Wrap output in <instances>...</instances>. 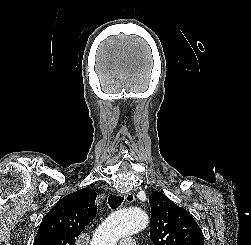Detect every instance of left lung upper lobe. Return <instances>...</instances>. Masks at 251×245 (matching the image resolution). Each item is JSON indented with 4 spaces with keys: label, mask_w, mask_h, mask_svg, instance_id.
Returning a JSON list of instances; mask_svg holds the SVG:
<instances>
[{
    "label": "left lung upper lobe",
    "mask_w": 251,
    "mask_h": 245,
    "mask_svg": "<svg viewBox=\"0 0 251 245\" xmlns=\"http://www.w3.org/2000/svg\"><path fill=\"white\" fill-rule=\"evenodd\" d=\"M150 237L154 245H204L203 233L192 215L160 192L149 197Z\"/></svg>",
    "instance_id": "1"
}]
</instances>
